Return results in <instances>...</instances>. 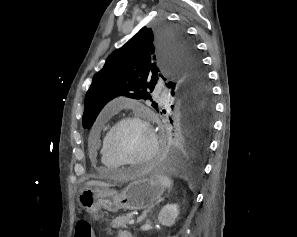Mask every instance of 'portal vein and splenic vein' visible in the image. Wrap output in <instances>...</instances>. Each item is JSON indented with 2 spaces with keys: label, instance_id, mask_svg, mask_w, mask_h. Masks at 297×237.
I'll return each instance as SVG.
<instances>
[{
  "label": "portal vein and splenic vein",
  "instance_id": "18ae733b",
  "mask_svg": "<svg viewBox=\"0 0 297 237\" xmlns=\"http://www.w3.org/2000/svg\"><path fill=\"white\" fill-rule=\"evenodd\" d=\"M134 222H135V220H134V219H130V220H129V222H128V224H129V225H133V224H134Z\"/></svg>",
  "mask_w": 297,
  "mask_h": 237
}]
</instances>
